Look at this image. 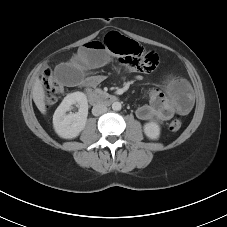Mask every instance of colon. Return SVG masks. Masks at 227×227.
I'll return each mask as SVG.
<instances>
[{"label":"colon","mask_w":227,"mask_h":227,"mask_svg":"<svg viewBox=\"0 0 227 227\" xmlns=\"http://www.w3.org/2000/svg\"><path fill=\"white\" fill-rule=\"evenodd\" d=\"M106 48L105 50L121 57H133L139 60L142 64L141 72H150L156 69L159 63L157 54L153 52H145L136 42L116 33L111 32L103 40ZM42 86L45 92L46 106L53 105L58 95L64 91L63 86L56 80L50 69H45L41 76ZM182 126L180 117H176L169 124V129L172 132L178 131Z\"/></svg>","instance_id":"5ec220e1"}]
</instances>
